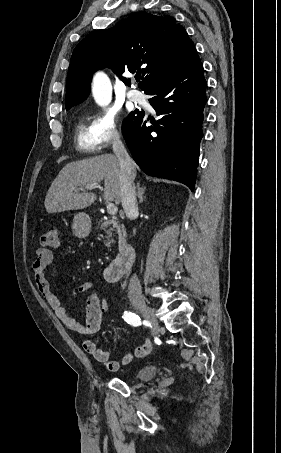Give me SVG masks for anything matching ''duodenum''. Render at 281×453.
<instances>
[{
    "mask_svg": "<svg viewBox=\"0 0 281 453\" xmlns=\"http://www.w3.org/2000/svg\"><path fill=\"white\" fill-rule=\"evenodd\" d=\"M135 259V250L130 245L123 246L114 260L105 268L104 278L109 282L119 280L131 267Z\"/></svg>",
    "mask_w": 281,
    "mask_h": 453,
    "instance_id": "duodenum-1",
    "label": "duodenum"
}]
</instances>
